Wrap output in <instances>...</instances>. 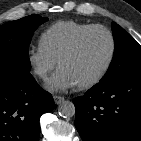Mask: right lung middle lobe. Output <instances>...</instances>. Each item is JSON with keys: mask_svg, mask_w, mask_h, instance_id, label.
<instances>
[{"mask_svg": "<svg viewBox=\"0 0 141 141\" xmlns=\"http://www.w3.org/2000/svg\"><path fill=\"white\" fill-rule=\"evenodd\" d=\"M47 20L30 15L0 26V74L30 72L29 44L34 31Z\"/></svg>", "mask_w": 141, "mask_h": 141, "instance_id": "dd1d6c3e", "label": "right lung middle lobe"}]
</instances>
